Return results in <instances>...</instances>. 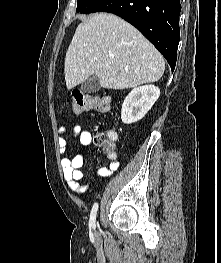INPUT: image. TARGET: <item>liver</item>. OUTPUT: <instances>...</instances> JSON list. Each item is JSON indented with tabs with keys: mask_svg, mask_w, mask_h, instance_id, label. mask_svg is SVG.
Returning a JSON list of instances; mask_svg holds the SVG:
<instances>
[{
	"mask_svg": "<svg viewBox=\"0 0 221 263\" xmlns=\"http://www.w3.org/2000/svg\"><path fill=\"white\" fill-rule=\"evenodd\" d=\"M165 61L156 48L120 17L97 13L80 23L64 63L72 89L95 74L107 89H127L158 81Z\"/></svg>",
	"mask_w": 221,
	"mask_h": 263,
	"instance_id": "1",
	"label": "liver"
}]
</instances>
